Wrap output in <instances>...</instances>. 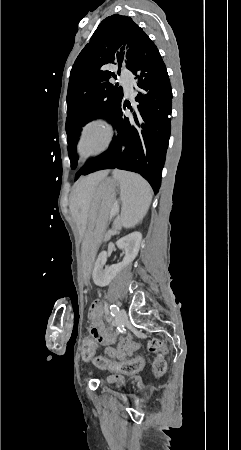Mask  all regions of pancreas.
Instances as JSON below:
<instances>
[{
  "label": "pancreas",
  "instance_id": "obj_1",
  "mask_svg": "<svg viewBox=\"0 0 241 450\" xmlns=\"http://www.w3.org/2000/svg\"><path fill=\"white\" fill-rule=\"evenodd\" d=\"M116 220H118V218H116ZM104 240L107 242L109 239L106 237Z\"/></svg>",
  "mask_w": 241,
  "mask_h": 450
}]
</instances>
